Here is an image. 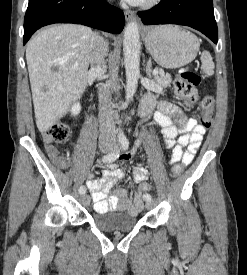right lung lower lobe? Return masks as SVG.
I'll return each instance as SVG.
<instances>
[{
	"mask_svg": "<svg viewBox=\"0 0 247 275\" xmlns=\"http://www.w3.org/2000/svg\"><path fill=\"white\" fill-rule=\"evenodd\" d=\"M54 23L82 24L118 34L125 21L122 10L105 0H29L23 44L37 29Z\"/></svg>",
	"mask_w": 247,
	"mask_h": 275,
	"instance_id": "right-lung-lower-lobe-1",
	"label": "right lung lower lobe"
}]
</instances>
